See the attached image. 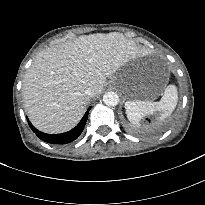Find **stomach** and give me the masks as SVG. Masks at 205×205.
<instances>
[{"instance_id":"0dacf381","label":"stomach","mask_w":205,"mask_h":205,"mask_svg":"<svg viewBox=\"0 0 205 205\" xmlns=\"http://www.w3.org/2000/svg\"><path fill=\"white\" fill-rule=\"evenodd\" d=\"M110 84L119 89L128 100L142 101L157 98L166 87L167 79L148 80L143 76L139 63L132 62L112 77Z\"/></svg>"}]
</instances>
